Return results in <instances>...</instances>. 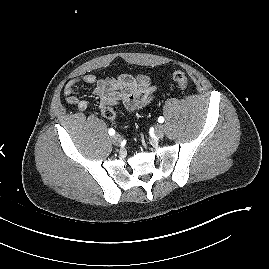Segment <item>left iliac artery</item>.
I'll use <instances>...</instances> for the list:
<instances>
[{"mask_svg": "<svg viewBox=\"0 0 269 269\" xmlns=\"http://www.w3.org/2000/svg\"><path fill=\"white\" fill-rule=\"evenodd\" d=\"M158 122H159V123H163V122H164V117L160 116V117L158 118Z\"/></svg>", "mask_w": 269, "mask_h": 269, "instance_id": "44dca946", "label": "left iliac artery"}]
</instances>
